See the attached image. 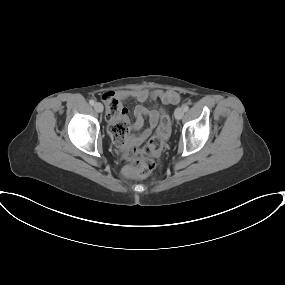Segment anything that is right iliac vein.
Instances as JSON below:
<instances>
[{
  "instance_id": "right-iliac-vein-1",
  "label": "right iliac vein",
  "mask_w": 285,
  "mask_h": 285,
  "mask_svg": "<svg viewBox=\"0 0 285 285\" xmlns=\"http://www.w3.org/2000/svg\"><path fill=\"white\" fill-rule=\"evenodd\" d=\"M94 109L97 111V112H102L103 111V105L101 103H95L94 104Z\"/></svg>"
}]
</instances>
